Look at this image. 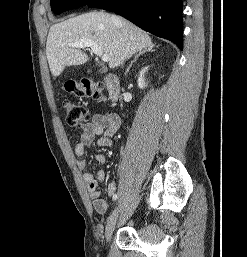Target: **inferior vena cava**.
<instances>
[{"label": "inferior vena cava", "instance_id": "obj_1", "mask_svg": "<svg viewBox=\"0 0 247 257\" xmlns=\"http://www.w3.org/2000/svg\"><path fill=\"white\" fill-rule=\"evenodd\" d=\"M112 19H113L114 21H117V17H116V16H112Z\"/></svg>", "mask_w": 247, "mask_h": 257}]
</instances>
